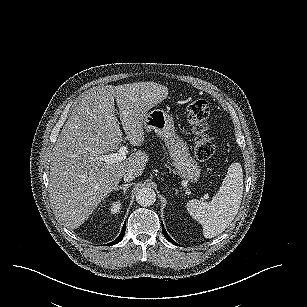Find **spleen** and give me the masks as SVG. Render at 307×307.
Here are the masks:
<instances>
[{
	"instance_id": "1",
	"label": "spleen",
	"mask_w": 307,
	"mask_h": 307,
	"mask_svg": "<svg viewBox=\"0 0 307 307\" xmlns=\"http://www.w3.org/2000/svg\"><path fill=\"white\" fill-rule=\"evenodd\" d=\"M243 171L239 162L231 163L218 194L210 201L192 199L188 212L203 225L205 238L221 234L234 220L243 198Z\"/></svg>"
}]
</instances>
